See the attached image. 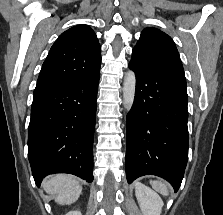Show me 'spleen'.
Returning a JSON list of instances; mask_svg holds the SVG:
<instances>
[{"label": "spleen", "mask_w": 223, "mask_h": 215, "mask_svg": "<svg viewBox=\"0 0 223 215\" xmlns=\"http://www.w3.org/2000/svg\"><path fill=\"white\" fill-rule=\"evenodd\" d=\"M152 187L156 189V191H159V193H163V195H168L170 189L165 183V181H150Z\"/></svg>", "instance_id": "3e777b00"}]
</instances>
